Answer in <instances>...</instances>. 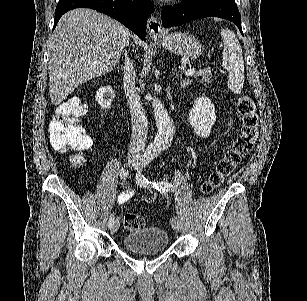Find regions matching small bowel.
Returning a JSON list of instances; mask_svg holds the SVG:
<instances>
[{
	"instance_id": "c3829d8e",
	"label": "small bowel",
	"mask_w": 307,
	"mask_h": 301,
	"mask_svg": "<svg viewBox=\"0 0 307 301\" xmlns=\"http://www.w3.org/2000/svg\"><path fill=\"white\" fill-rule=\"evenodd\" d=\"M134 194V190L133 189H130V190H125L123 191L119 196H118V203H124L126 202L127 200H129L132 195Z\"/></svg>"
}]
</instances>
